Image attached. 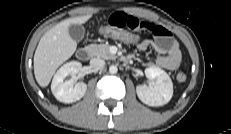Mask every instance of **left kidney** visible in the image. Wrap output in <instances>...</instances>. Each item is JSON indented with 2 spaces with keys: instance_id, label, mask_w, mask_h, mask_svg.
Returning <instances> with one entry per match:
<instances>
[{
  "instance_id": "left-kidney-1",
  "label": "left kidney",
  "mask_w": 231,
  "mask_h": 134,
  "mask_svg": "<svg viewBox=\"0 0 231 134\" xmlns=\"http://www.w3.org/2000/svg\"><path fill=\"white\" fill-rule=\"evenodd\" d=\"M146 77L153 81L151 87L138 85L136 92L138 98L149 106H163L173 96V83L169 75L159 67L145 69Z\"/></svg>"
}]
</instances>
